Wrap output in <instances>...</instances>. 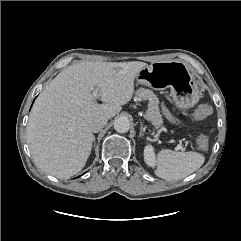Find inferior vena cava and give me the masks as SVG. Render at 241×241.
Listing matches in <instances>:
<instances>
[{
    "label": "inferior vena cava",
    "mask_w": 241,
    "mask_h": 241,
    "mask_svg": "<svg viewBox=\"0 0 241 241\" xmlns=\"http://www.w3.org/2000/svg\"><path fill=\"white\" fill-rule=\"evenodd\" d=\"M108 122V119L104 116L96 118L92 123H91V130L92 132H98L100 131Z\"/></svg>",
    "instance_id": "602c4592"
}]
</instances>
